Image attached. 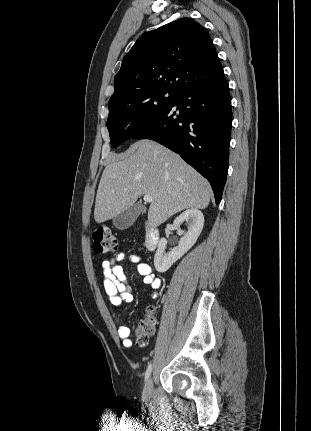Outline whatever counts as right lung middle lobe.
<instances>
[{
    "mask_svg": "<svg viewBox=\"0 0 311 431\" xmlns=\"http://www.w3.org/2000/svg\"><path fill=\"white\" fill-rule=\"evenodd\" d=\"M176 96L177 93L170 91L150 90L110 99L107 127L112 146L132 138L171 106Z\"/></svg>",
    "mask_w": 311,
    "mask_h": 431,
    "instance_id": "right-lung-middle-lobe-1",
    "label": "right lung middle lobe"
}]
</instances>
